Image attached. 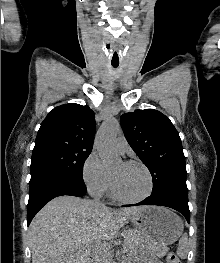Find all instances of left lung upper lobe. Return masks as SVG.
<instances>
[{
  "label": "left lung upper lobe",
  "mask_w": 220,
  "mask_h": 263,
  "mask_svg": "<svg viewBox=\"0 0 220 263\" xmlns=\"http://www.w3.org/2000/svg\"><path fill=\"white\" fill-rule=\"evenodd\" d=\"M120 123L128 143L153 178L151 195L188 199L186 164L179 133L167 116L154 109L125 113Z\"/></svg>",
  "instance_id": "obj_1"
}]
</instances>
